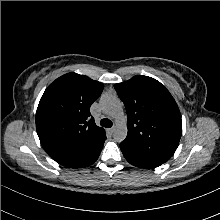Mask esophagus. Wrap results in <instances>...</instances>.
I'll use <instances>...</instances> for the list:
<instances>
[{
	"instance_id": "obj_1",
	"label": "esophagus",
	"mask_w": 220,
	"mask_h": 220,
	"mask_svg": "<svg viewBox=\"0 0 220 220\" xmlns=\"http://www.w3.org/2000/svg\"><path fill=\"white\" fill-rule=\"evenodd\" d=\"M108 131H109V133H113L114 132V128H111Z\"/></svg>"
}]
</instances>
